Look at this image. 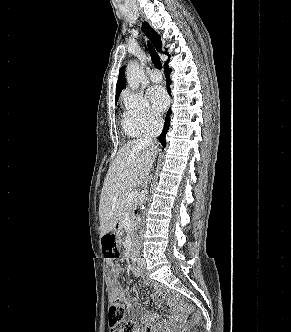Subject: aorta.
<instances>
[{
    "mask_svg": "<svg viewBox=\"0 0 291 332\" xmlns=\"http://www.w3.org/2000/svg\"><path fill=\"white\" fill-rule=\"evenodd\" d=\"M143 76L144 72L140 68L137 61H131L128 63L126 68V79L129 87L132 90H137L139 88Z\"/></svg>",
    "mask_w": 291,
    "mask_h": 332,
    "instance_id": "obj_1",
    "label": "aorta"
}]
</instances>
